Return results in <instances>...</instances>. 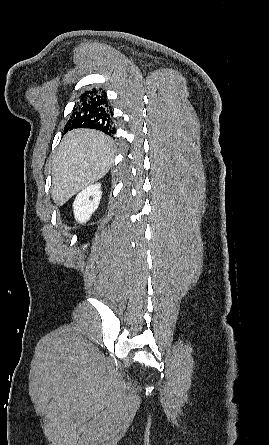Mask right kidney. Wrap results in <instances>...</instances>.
Instances as JSON below:
<instances>
[{"instance_id":"right-kidney-1","label":"right kidney","mask_w":269,"mask_h":445,"mask_svg":"<svg viewBox=\"0 0 269 445\" xmlns=\"http://www.w3.org/2000/svg\"><path fill=\"white\" fill-rule=\"evenodd\" d=\"M101 184L96 183L82 190L75 198L73 212L76 221L85 223L96 211L102 196Z\"/></svg>"}]
</instances>
